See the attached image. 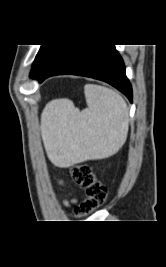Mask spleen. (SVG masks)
<instances>
[{"mask_svg": "<svg viewBox=\"0 0 166 267\" xmlns=\"http://www.w3.org/2000/svg\"><path fill=\"white\" fill-rule=\"evenodd\" d=\"M84 93L88 108L81 112L51 103L42 114L43 142L57 166L107 158L126 141L129 117L125 100L112 89L95 84H86Z\"/></svg>", "mask_w": 166, "mask_h": 267, "instance_id": "1", "label": "spleen"}]
</instances>
